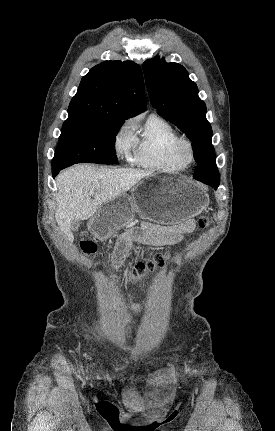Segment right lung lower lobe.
<instances>
[{
  "label": "right lung lower lobe",
  "instance_id": "98d812e1",
  "mask_svg": "<svg viewBox=\"0 0 275 431\" xmlns=\"http://www.w3.org/2000/svg\"><path fill=\"white\" fill-rule=\"evenodd\" d=\"M61 169H63L62 167H52V175H53V177H55L58 173H59V171L61 170Z\"/></svg>",
  "mask_w": 275,
  "mask_h": 431
}]
</instances>
